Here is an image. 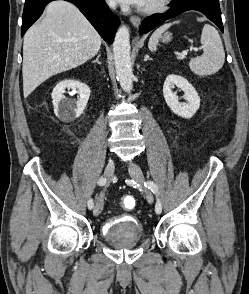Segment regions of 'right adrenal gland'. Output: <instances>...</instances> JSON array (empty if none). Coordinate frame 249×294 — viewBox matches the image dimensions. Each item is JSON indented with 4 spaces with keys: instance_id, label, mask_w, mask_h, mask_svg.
<instances>
[{
    "instance_id": "1",
    "label": "right adrenal gland",
    "mask_w": 249,
    "mask_h": 294,
    "mask_svg": "<svg viewBox=\"0 0 249 294\" xmlns=\"http://www.w3.org/2000/svg\"><path fill=\"white\" fill-rule=\"evenodd\" d=\"M101 54H98L96 59L92 61V63H98V64H101V62L99 61V58H100Z\"/></svg>"
}]
</instances>
